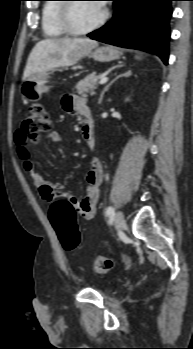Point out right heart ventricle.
<instances>
[{
    "mask_svg": "<svg viewBox=\"0 0 193 349\" xmlns=\"http://www.w3.org/2000/svg\"><path fill=\"white\" fill-rule=\"evenodd\" d=\"M55 1L60 0H48L42 8L41 28L43 36L47 39L61 38L66 34L58 23L60 3Z\"/></svg>",
    "mask_w": 193,
    "mask_h": 349,
    "instance_id": "obj_1",
    "label": "right heart ventricle"
}]
</instances>
